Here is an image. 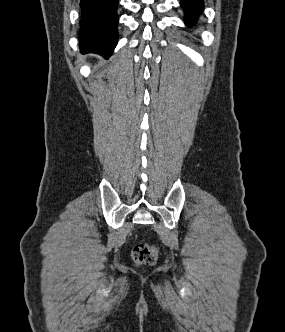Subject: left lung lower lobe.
Segmentation results:
<instances>
[{
	"label": "left lung lower lobe",
	"mask_w": 285,
	"mask_h": 332,
	"mask_svg": "<svg viewBox=\"0 0 285 332\" xmlns=\"http://www.w3.org/2000/svg\"><path fill=\"white\" fill-rule=\"evenodd\" d=\"M181 6L185 11V23L192 25L203 9V0H181Z\"/></svg>",
	"instance_id": "left-lung-lower-lobe-1"
}]
</instances>
